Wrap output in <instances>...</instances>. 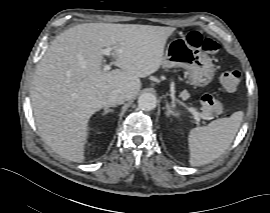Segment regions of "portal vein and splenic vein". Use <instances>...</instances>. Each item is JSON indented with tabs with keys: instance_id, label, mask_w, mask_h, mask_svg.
Listing matches in <instances>:
<instances>
[{
	"instance_id": "portal-vein-and-splenic-vein-1",
	"label": "portal vein and splenic vein",
	"mask_w": 270,
	"mask_h": 213,
	"mask_svg": "<svg viewBox=\"0 0 270 213\" xmlns=\"http://www.w3.org/2000/svg\"><path fill=\"white\" fill-rule=\"evenodd\" d=\"M112 47H108L106 49H103L102 50V53L105 55V56H111L112 55ZM111 69V66L110 65H105L104 68H103V71L107 72L108 70ZM180 104H182L184 107L187 108V110L193 114L195 120L197 122H200L201 121V118H202V115L196 111V109H194L193 107H188L186 104L182 103V102H179Z\"/></svg>"
}]
</instances>
